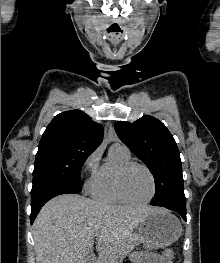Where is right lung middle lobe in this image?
Wrapping results in <instances>:
<instances>
[{"label":"right lung middle lobe","instance_id":"right-lung-middle-lobe-1","mask_svg":"<svg viewBox=\"0 0 220 263\" xmlns=\"http://www.w3.org/2000/svg\"><path fill=\"white\" fill-rule=\"evenodd\" d=\"M92 153L73 149H49L37 152L33 187L44 182H62L80 186L81 168Z\"/></svg>","mask_w":220,"mask_h":263}]
</instances>
